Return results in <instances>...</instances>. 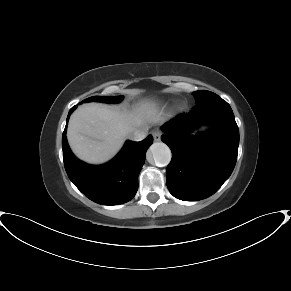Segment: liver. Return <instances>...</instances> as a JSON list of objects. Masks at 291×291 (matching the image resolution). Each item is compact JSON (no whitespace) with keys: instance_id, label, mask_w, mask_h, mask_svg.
Instances as JSON below:
<instances>
[{"instance_id":"obj_1","label":"liver","mask_w":291,"mask_h":291,"mask_svg":"<svg viewBox=\"0 0 291 291\" xmlns=\"http://www.w3.org/2000/svg\"><path fill=\"white\" fill-rule=\"evenodd\" d=\"M164 120L156 104L150 101H143L131 110L88 103L72 114L67 139L79 159L101 164L115 156L135 130Z\"/></svg>"}]
</instances>
